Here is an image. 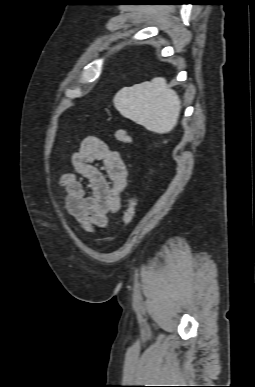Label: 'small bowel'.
<instances>
[{"label":"small bowel","mask_w":255,"mask_h":387,"mask_svg":"<svg viewBox=\"0 0 255 387\" xmlns=\"http://www.w3.org/2000/svg\"><path fill=\"white\" fill-rule=\"evenodd\" d=\"M71 163L73 171L60 179L66 211L86 231L104 228L108 214L120 209L127 186L128 171L120 153L100 138L88 136L72 154Z\"/></svg>","instance_id":"obj_1"}]
</instances>
